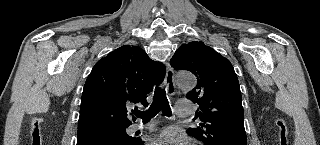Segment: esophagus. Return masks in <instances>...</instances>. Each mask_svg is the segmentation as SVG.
Masks as SVG:
<instances>
[{
    "label": "esophagus",
    "mask_w": 320,
    "mask_h": 145,
    "mask_svg": "<svg viewBox=\"0 0 320 145\" xmlns=\"http://www.w3.org/2000/svg\"><path fill=\"white\" fill-rule=\"evenodd\" d=\"M165 85H166L167 92L170 95L175 94L176 85L174 81V71L169 64H167V67H166Z\"/></svg>",
    "instance_id": "1"
}]
</instances>
